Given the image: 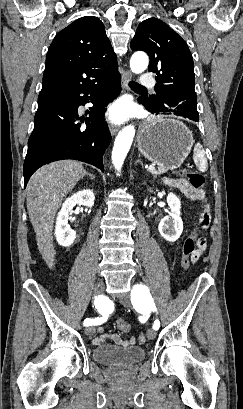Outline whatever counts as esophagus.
<instances>
[{
	"mask_svg": "<svg viewBox=\"0 0 243 409\" xmlns=\"http://www.w3.org/2000/svg\"><path fill=\"white\" fill-rule=\"evenodd\" d=\"M132 79V74L129 70L124 71L122 74V89L123 91H126L128 89V83ZM119 131V127L116 125H111L110 126V133L111 135H116L117 132Z\"/></svg>",
	"mask_w": 243,
	"mask_h": 409,
	"instance_id": "obj_1",
	"label": "esophagus"
}]
</instances>
